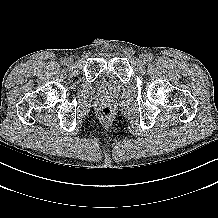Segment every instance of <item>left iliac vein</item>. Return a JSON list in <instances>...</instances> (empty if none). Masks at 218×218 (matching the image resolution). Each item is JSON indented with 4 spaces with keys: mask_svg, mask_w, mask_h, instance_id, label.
<instances>
[{
    "mask_svg": "<svg viewBox=\"0 0 218 218\" xmlns=\"http://www.w3.org/2000/svg\"><path fill=\"white\" fill-rule=\"evenodd\" d=\"M139 59L142 64H145L148 61V55L142 54Z\"/></svg>",
    "mask_w": 218,
    "mask_h": 218,
    "instance_id": "obj_1",
    "label": "left iliac vein"
}]
</instances>
